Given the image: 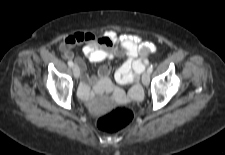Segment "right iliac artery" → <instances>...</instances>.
Here are the masks:
<instances>
[{"instance_id": "obj_1", "label": "right iliac artery", "mask_w": 225, "mask_h": 155, "mask_svg": "<svg viewBox=\"0 0 225 155\" xmlns=\"http://www.w3.org/2000/svg\"><path fill=\"white\" fill-rule=\"evenodd\" d=\"M68 65H69V67H73L74 66L72 61H68Z\"/></svg>"}]
</instances>
